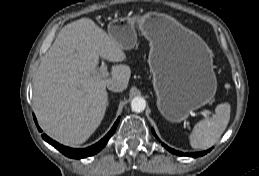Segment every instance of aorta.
I'll return each mask as SVG.
<instances>
[{"label":"aorta","mask_w":259,"mask_h":176,"mask_svg":"<svg viewBox=\"0 0 259 176\" xmlns=\"http://www.w3.org/2000/svg\"><path fill=\"white\" fill-rule=\"evenodd\" d=\"M145 107H146V102L143 98L135 97L132 99V101H131L132 111H134L136 113H140V112L144 111Z\"/></svg>","instance_id":"1"}]
</instances>
